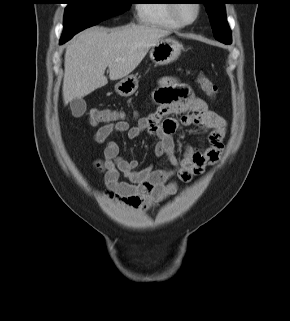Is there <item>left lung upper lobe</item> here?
I'll return each instance as SVG.
<instances>
[{"instance_id": "1", "label": "left lung upper lobe", "mask_w": 290, "mask_h": 321, "mask_svg": "<svg viewBox=\"0 0 290 321\" xmlns=\"http://www.w3.org/2000/svg\"><path fill=\"white\" fill-rule=\"evenodd\" d=\"M209 15L210 23L213 29L214 36L217 40L231 41V30L229 28L226 12L225 0H203L202 2Z\"/></svg>"}]
</instances>
